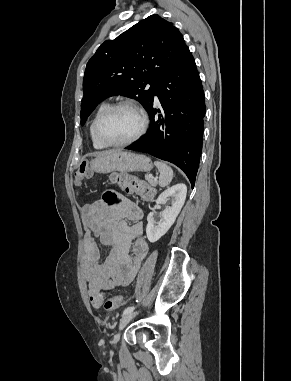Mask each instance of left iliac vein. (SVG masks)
I'll return each instance as SVG.
<instances>
[{"mask_svg": "<svg viewBox=\"0 0 291 381\" xmlns=\"http://www.w3.org/2000/svg\"><path fill=\"white\" fill-rule=\"evenodd\" d=\"M136 315V312H130L125 314L119 323V330H122Z\"/></svg>", "mask_w": 291, "mask_h": 381, "instance_id": "4c4485c4", "label": "left iliac vein"}]
</instances>
